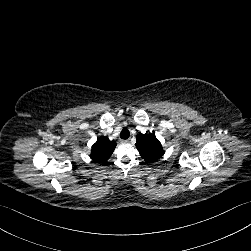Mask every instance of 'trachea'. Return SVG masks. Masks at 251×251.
Here are the masks:
<instances>
[{
  "mask_svg": "<svg viewBox=\"0 0 251 251\" xmlns=\"http://www.w3.org/2000/svg\"><path fill=\"white\" fill-rule=\"evenodd\" d=\"M130 136V132L127 128H123L122 131L120 132V138L121 139H128Z\"/></svg>",
  "mask_w": 251,
  "mask_h": 251,
  "instance_id": "1",
  "label": "trachea"
}]
</instances>
